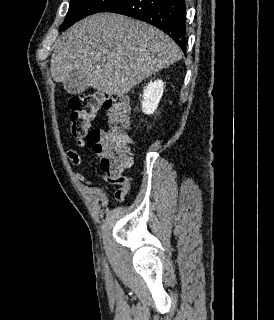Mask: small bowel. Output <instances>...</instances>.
<instances>
[{
  "mask_svg": "<svg viewBox=\"0 0 274 320\" xmlns=\"http://www.w3.org/2000/svg\"><path fill=\"white\" fill-rule=\"evenodd\" d=\"M89 143L87 142L86 139H79L77 141V146L78 147H85V146H88ZM67 157L68 159L71 161V163L76 166V167H80L82 166V159H81V156L79 154V152L75 149H70L67 151ZM74 175L76 177V179L78 181H80L81 183L83 184H86L88 186H93V187H96V188H99L105 192H108V188L102 184H98V183H95L91 180H88L82 173L78 172V171H75L74 172ZM117 198V197H116ZM117 200L119 201H123L124 198H121V199H118Z\"/></svg>",
  "mask_w": 274,
  "mask_h": 320,
  "instance_id": "obj_1",
  "label": "small bowel"
}]
</instances>
